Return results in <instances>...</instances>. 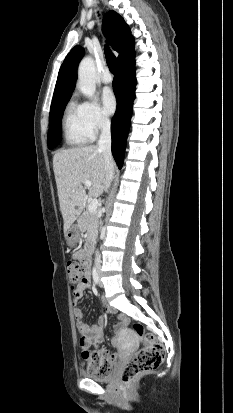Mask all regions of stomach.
Returning a JSON list of instances; mask_svg holds the SVG:
<instances>
[{"mask_svg": "<svg viewBox=\"0 0 233 413\" xmlns=\"http://www.w3.org/2000/svg\"><path fill=\"white\" fill-rule=\"evenodd\" d=\"M67 244L69 246H75L80 238V229L77 224H73L65 234Z\"/></svg>", "mask_w": 233, "mask_h": 413, "instance_id": "obj_1", "label": "stomach"}]
</instances>
